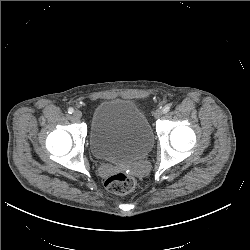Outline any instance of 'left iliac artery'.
<instances>
[{"mask_svg":"<svg viewBox=\"0 0 250 250\" xmlns=\"http://www.w3.org/2000/svg\"><path fill=\"white\" fill-rule=\"evenodd\" d=\"M171 106L170 105H166L164 108H163V113H167L169 110H170Z\"/></svg>","mask_w":250,"mask_h":250,"instance_id":"left-iliac-artery-1","label":"left iliac artery"}]
</instances>
